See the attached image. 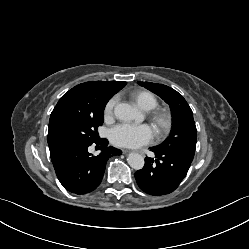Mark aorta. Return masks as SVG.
<instances>
[{
    "label": "aorta",
    "instance_id": "762f6f07",
    "mask_svg": "<svg viewBox=\"0 0 249 249\" xmlns=\"http://www.w3.org/2000/svg\"><path fill=\"white\" fill-rule=\"evenodd\" d=\"M137 110L127 103H119L114 108V115L120 121H132L135 119ZM127 162L131 168L140 170L144 166V157L138 153H130Z\"/></svg>",
    "mask_w": 249,
    "mask_h": 249
}]
</instances>
